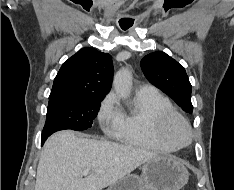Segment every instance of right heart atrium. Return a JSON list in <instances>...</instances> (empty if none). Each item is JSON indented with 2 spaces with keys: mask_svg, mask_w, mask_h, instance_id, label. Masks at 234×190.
Returning a JSON list of instances; mask_svg holds the SVG:
<instances>
[{
  "mask_svg": "<svg viewBox=\"0 0 234 190\" xmlns=\"http://www.w3.org/2000/svg\"><path fill=\"white\" fill-rule=\"evenodd\" d=\"M97 119L101 129L106 133L116 131L119 122V109L116 96L113 93L107 94L100 103Z\"/></svg>",
  "mask_w": 234,
  "mask_h": 190,
  "instance_id": "1",
  "label": "right heart atrium"
}]
</instances>
